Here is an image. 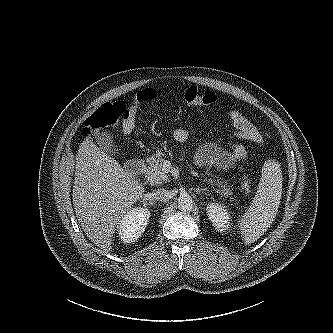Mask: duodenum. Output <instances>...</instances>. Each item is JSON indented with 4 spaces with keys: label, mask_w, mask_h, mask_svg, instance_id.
<instances>
[{
    "label": "duodenum",
    "mask_w": 333,
    "mask_h": 333,
    "mask_svg": "<svg viewBox=\"0 0 333 333\" xmlns=\"http://www.w3.org/2000/svg\"><path fill=\"white\" fill-rule=\"evenodd\" d=\"M126 170L133 175L142 174L146 170V164L141 159L131 160L127 163Z\"/></svg>",
    "instance_id": "duodenum-1"
}]
</instances>
